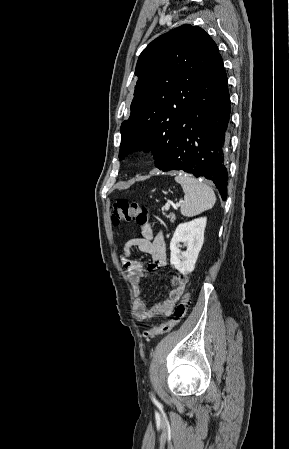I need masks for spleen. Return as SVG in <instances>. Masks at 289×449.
I'll return each mask as SVG.
<instances>
[{"label":"spleen","instance_id":"3e777b00","mask_svg":"<svg viewBox=\"0 0 289 449\" xmlns=\"http://www.w3.org/2000/svg\"><path fill=\"white\" fill-rule=\"evenodd\" d=\"M175 181L182 186L185 193L184 202L181 205L183 216L193 217L214 206L216 196L207 184L183 173L177 175Z\"/></svg>","mask_w":289,"mask_h":449}]
</instances>
